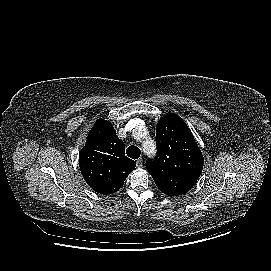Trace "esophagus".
Wrapping results in <instances>:
<instances>
[{
    "label": "esophagus",
    "instance_id": "1",
    "mask_svg": "<svg viewBox=\"0 0 271 271\" xmlns=\"http://www.w3.org/2000/svg\"><path fill=\"white\" fill-rule=\"evenodd\" d=\"M142 165H143V160H142V158H139V159L136 161V166H137L138 168H141Z\"/></svg>",
    "mask_w": 271,
    "mask_h": 271
}]
</instances>
